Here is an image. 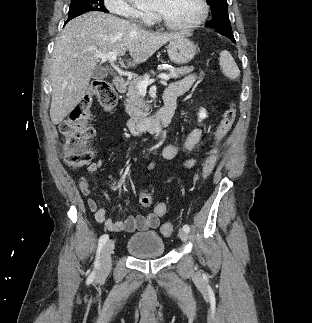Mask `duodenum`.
Masks as SVG:
<instances>
[{
    "mask_svg": "<svg viewBox=\"0 0 312 323\" xmlns=\"http://www.w3.org/2000/svg\"><path fill=\"white\" fill-rule=\"evenodd\" d=\"M115 88L124 92L127 87V79L119 76L114 81ZM176 110V95L164 94V104L161 109L153 116L141 118H129L126 121L128 131L134 136H142L149 132L156 131L161 127L168 126L173 121Z\"/></svg>",
    "mask_w": 312,
    "mask_h": 323,
    "instance_id": "duodenum-1",
    "label": "duodenum"
}]
</instances>
